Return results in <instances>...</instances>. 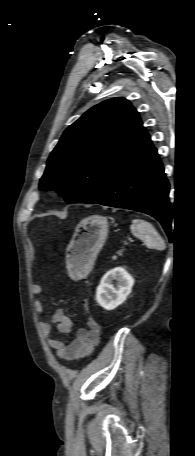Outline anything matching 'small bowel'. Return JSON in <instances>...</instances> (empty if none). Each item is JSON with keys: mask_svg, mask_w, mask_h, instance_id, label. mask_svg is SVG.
I'll return each instance as SVG.
<instances>
[{"mask_svg": "<svg viewBox=\"0 0 195 456\" xmlns=\"http://www.w3.org/2000/svg\"><path fill=\"white\" fill-rule=\"evenodd\" d=\"M31 293L36 298L42 295L43 288L35 284L31 287ZM33 305L38 313L44 312V306L40 300L35 299ZM84 306L86 310L89 309L87 300L84 301ZM71 329L72 321L63 310H56L52 315L51 321L41 323V330L47 344L56 350V355L60 360L75 361L85 358L93 352L100 341V325L94 318H89L87 327L79 329L73 340L68 344L51 337V333L55 330L60 333H69Z\"/></svg>", "mask_w": 195, "mask_h": 456, "instance_id": "1", "label": "small bowel"}]
</instances>
